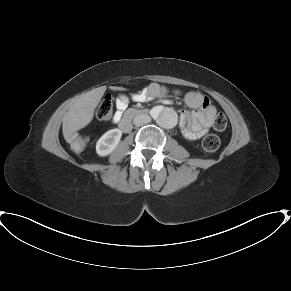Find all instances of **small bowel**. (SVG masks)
<instances>
[{
    "mask_svg": "<svg viewBox=\"0 0 291 291\" xmlns=\"http://www.w3.org/2000/svg\"><path fill=\"white\" fill-rule=\"evenodd\" d=\"M170 90L153 83L146 92L134 95L133 99L138 102L167 96ZM185 104L191 108V111H182L180 114V126L185 138L197 140L207 133L211 126L217 109L209 99L197 90H191L184 94ZM127 107V101L121 99L117 102V112L114 121H119L124 110Z\"/></svg>",
    "mask_w": 291,
    "mask_h": 291,
    "instance_id": "1",
    "label": "small bowel"
}]
</instances>
